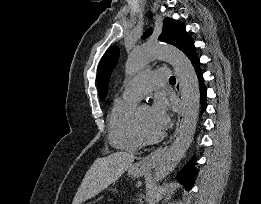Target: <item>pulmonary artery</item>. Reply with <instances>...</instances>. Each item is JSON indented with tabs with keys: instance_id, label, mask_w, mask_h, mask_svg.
Returning a JSON list of instances; mask_svg holds the SVG:
<instances>
[{
	"instance_id": "pulmonary-artery-1",
	"label": "pulmonary artery",
	"mask_w": 261,
	"mask_h": 204,
	"mask_svg": "<svg viewBox=\"0 0 261 204\" xmlns=\"http://www.w3.org/2000/svg\"><path fill=\"white\" fill-rule=\"evenodd\" d=\"M168 77L169 71L166 68L140 72L126 85L122 92V97L138 101L147 92L165 83Z\"/></svg>"
}]
</instances>
